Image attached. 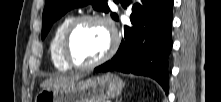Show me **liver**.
<instances>
[{
  "mask_svg": "<svg viewBox=\"0 0 221 102\" xmlns=\"http://www.w3.org/2000/svg\"><path fill=\"white\" fill-rule=\"evenodd\" d=\"M78 77L76 76H57L55 78H50L48 80H45L42 84L41 87L43 88H48V87H53V86H59L66 84L68 82L75 81Z\"/></svg>",
  "mask_w": 221,
  "mask_h": 102,
  "instance_id": "obj_1",
  "label": "liver"
}]
</instances>
